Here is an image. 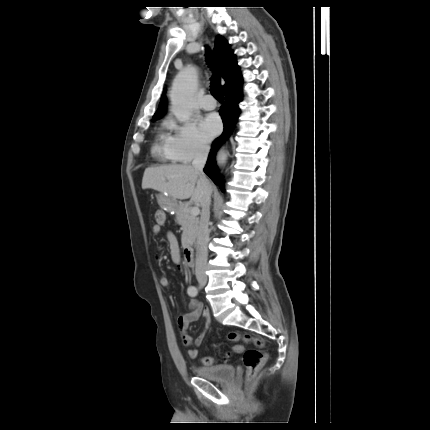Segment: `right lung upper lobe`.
Instances as JSON below:
<instances>
[{
  "instance_id": "cb5924a9",
  "label": "right lung upper lobe",
  "mask_w": 430,
  "mask_h": 430,
  "mask_svg": "<svg viewBox=\"0 0 430 430\" xmlns=\"http://www.w3.org/2000/svg\"><path fill=\"white\" fill-rule=\"evenodd\" d=\"M214 52L220 68V75L225 81L223 91L240 84L242 82V76L239 66L237 65L236 57L230 49V45L223 37H216ZM166 102V97L163 94L158 110L154 114L153 119H158L165 114Z\"/></svg>"
}]
</instances>
